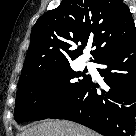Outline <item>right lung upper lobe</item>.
I'll list each match as a JSON object with an SVG mask.
<instances>
[{"label":"right lung upper lobe","instance_id":"right-lung-upper-lobe-1","mask_svg":"<svg viewBox=\"0 0 136 136\" xmlns=\"http://www.w3.org/2000/svg\"><path fill=\"white\" fill-rule=\"evenodd\" d=\"M136 36L130 10L122 0H64L33 26L20 79L70 64L92 43L94 61L101 53ZM80 44L75 49V45Z\"/></svg>","mask_w":136,"mask_h":136}]
</instances>
